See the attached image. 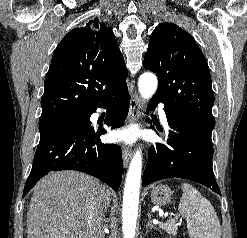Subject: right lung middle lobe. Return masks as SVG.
Segmentation results:
<instances>
[{"instance_id":"1","label":"right lung middle lobe","mask_w":247,"mask_h":238,"mask_svg":"<svg viewBox=\"0 0 247 238\" xmlns=\"http://www.w3.org/2000/svg\"><path fill=\"white\" fill-rule=\"evenodd\" d=\"M81 115L78 114H69L64 116H59L43 121H39V131L40 137L53 132L61 127H64L72 122L80 121Z\"/></svg>"}]
</instances>
